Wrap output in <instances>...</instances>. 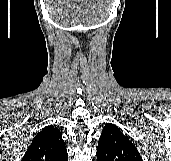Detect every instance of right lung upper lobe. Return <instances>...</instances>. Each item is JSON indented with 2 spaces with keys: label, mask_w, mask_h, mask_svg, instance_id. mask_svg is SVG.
<instances>
[{
  "label": "right lung upper lobe",
  "mask_w": 171,
  "mask_h": 161,
  "mask_svg": "<svg viewBox=\"0 0 171 161\" xmlns=\"http://www.w3.org/2000/svg\"><path fill=\"white\" fill-rule=\"evenodd\" d=\"M22 161H68L60 130L54 126L45 127L35 136Z\"/></svg>",
  "instance_id": "obj_1"
}]
</instances>
